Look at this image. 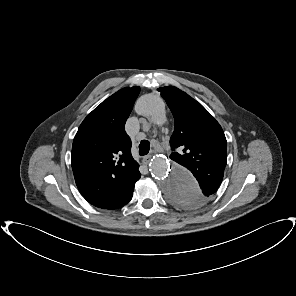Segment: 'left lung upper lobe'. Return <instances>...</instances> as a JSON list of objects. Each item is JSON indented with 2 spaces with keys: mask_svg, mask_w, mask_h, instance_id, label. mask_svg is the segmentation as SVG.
I'll use <instances>...</instances> for the list:
<instances>
[{
  "mask_svg": "<svg viewBox=\"0 0 296 296\" xmlns=\"http://www.w3.org/2000/svg\"><path fill=\"white\" fill-rule=\"evenodd\" d=\"M161 96L174 116V132L170 139V158L189 169L200 190H177L170 200L181 207H197L207 202L221 183L227 162V141L214 117L196 100L180 89L159 88ZM183 149V153L175 151Z\"/></svg>",
  "mask_w": 296,
  "mask_h": 296,
  "instance_id": "5c2ea615",
  "label": "left lung upper lobe"
}]
</instances>
